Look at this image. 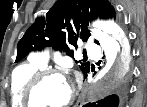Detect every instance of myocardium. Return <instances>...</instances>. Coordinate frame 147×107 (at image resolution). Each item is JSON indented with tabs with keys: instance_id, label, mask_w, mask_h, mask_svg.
Segmentation results:
<instances>
[{
	"instance_id": "1",
	"label": "myocardium",
	"mask_w": 147,
	"mask_h": 107,
	"mask_svg": "<svg viewBox=\"0 0 147 107\" xmlns=\"http://www.w3.org/2000/svg\"><path fill=\"white\" fill-rule=\"evenodd\" d=\"M50 77H62L64 78L63 73L57 68H43L38 71L28 82L24 93H23V103L25 107H39L35 104L34 93L38 87ZM75 91L74 87H71V93L68 99L57 107H68L74 101Z\"/></svg>"
}]
</instances>
